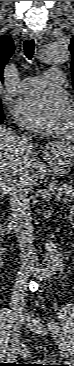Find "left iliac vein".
I'll use <instances>...</instances> for the list:
<instances>
[{"label": "left iliac vein", "instance_id": "4c4485c4", "mask_svg": "<svg viewBox=\"0 0 74 366\" xmlns=\"http://www.w3.org/2000/svg\"><path fill=\"white\" fill-rule=\"evenodd\" d=\"M23 321H26L27 326L29 329H31L32 331L38 333V334H42L45 335L47 334L48 331H51L50 327L41 323L40 321L33 319L30 315H26L25 318L23 319ZM59 346L61 349V353L65 358H68V354H69V349L67 347V345L63 342L60 341L59 342Z\"/></svg>", "mask_w": 74, "mask_h": 366}]
</instances>
